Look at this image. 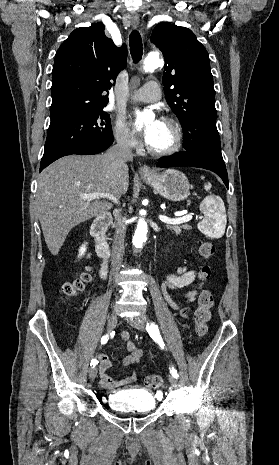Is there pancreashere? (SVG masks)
Listing matches in <instances>:
<instances>
[{"mask_svg":"<svg viewBox=\"0 0 279 465\" xmlns=\"http://www.w3.org/2000/svg\"><path fill=\"white\" fill-rule=\"evenodd\" d=\"M166 227H167V229L173 230L176 234H180L182 229L188 230V229L191 228L189 225H181V226H179L177 224H175V225H167Z\"/></svg>","mask_w":279,"mask_h":465,"instance_id":"1","label":"pancreas"}]
</instances>
